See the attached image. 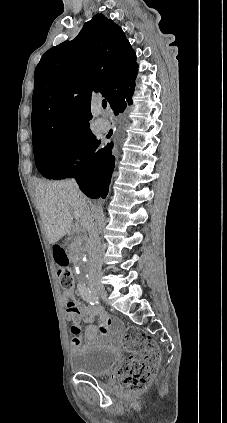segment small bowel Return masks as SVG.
I'll return each mask as SVG.
<instances>
[{"label": "small bowel", "instance_id": "1", "mask_svg": "<svg viewBox=\"0 0 227 423\" xmlns=\"http://www.w3.org/2000/svg\"><path fill=\"white\" fill-rule=\"evenodd\" d=\"M79 290V289H78ZM66 305V317L71 322V332L73 337L70 345L71 350L76 352L82 345L80 322L85 321L87 326L84 330V335L89 345L96 344L103 340L107 334L109 327L116 323V320L111 318L102 307L97 304L84 305L76 298L75 291L70 288L66 289L62 297ZM97 319L98 324H94Z\"/></svg>", "mask_w": 227, "mask_h": 423}]
</instances>
